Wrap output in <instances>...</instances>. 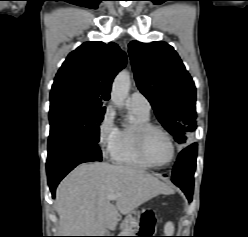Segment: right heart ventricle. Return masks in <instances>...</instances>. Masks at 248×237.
Listing matches in <instances>:
<instances>
[{"instance_id": "obj_1", "label": "right heart ventricle", "mask_w": 248, "mask_h": 237, "mask_svg": "<svg viewBox=\"0 0 248 237\" xmlns=\"http://www.w3.org/2000/svg\"><path fill=\"white\" fill-rule=\"evenodd\" d=\"M130 110L135 121L130 126L118 129L117 146L111 158L112 161L117 164L140 169H148L150 166L137 152L134 132L138 125L150 122V112L147 113L134 107H130Z\"/></svg>"}]
</instances>
